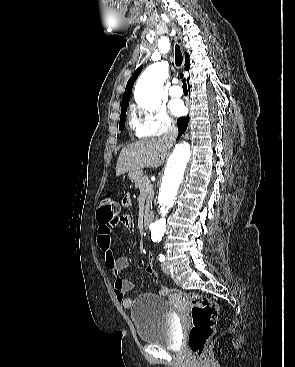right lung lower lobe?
I'll list each match as a JSON object with an SVG mask.
<instances>
[{
	"mask_svg": "<svg viewBox=\"0 0 295 367\" xmlns=\"http://www.w3.org/2000/svg\"><path fill=\"white\" fill-rule=\"evenodd\" d=\"M188 122H189V116L181 117L177 120V126L179 131L178 138L181 137V135L185 132L188 126Z\"/></svg>",
	"mask_w": 295,
	"mask_h": 367,
	"instance_id": "obj_1",
	"label": "right lung lower lobe"
}]
</instances>
